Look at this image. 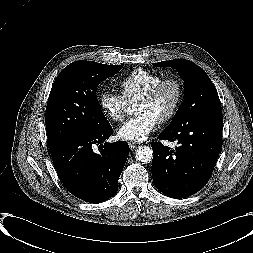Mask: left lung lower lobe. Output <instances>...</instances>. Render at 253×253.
<instances>
[{"label": "left lung lower lobe", "instance_id": "0a47b994", "mask_svg": "<svg viewBox=\"0 0 253 253\" xmlns=\"http://www.w3.org/2000/svg\"><path fill=\"white\" fill-rule=\"evenodd\" d=\"M223 117L192 120L174 130H164L160 140L178 141L171 150L153 142L152 177L162 193L185 198L201 190L209 181L222 145Z\"/></svg>", "mask_w": 253, "mask_h": 253}]
</instances>
